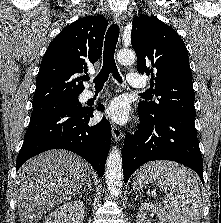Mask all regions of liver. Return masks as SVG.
I'll list each match as a JSON object with an SVG mask.
<instances>
[{
	"label": "liver",
	"mask_w": 221,
	"mask_h": 223,
	"mask_svg": "<svg viewBox=\"0 0 221 223\" xmlns=\"http://www.w3.org/2000/svg\"><path fill=\"white\" fill-rule=\"evenodd\" d=\"M87 168L81 157L65 150H49L24 163L14 181L21 223H36L74 197L89 178Z\"/></svg>",
	"instance_id": "1"
}]
</instances>
